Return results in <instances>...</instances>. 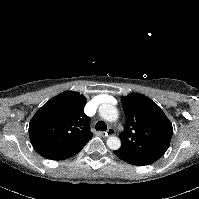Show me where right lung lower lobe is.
Segmentation results:
<instances>
[{
	"label": "right lung lower lobe",
	"mask_w": 199,
	"mask_h": 199,
	"mask_svg": "<svg viewBox=\"0 0 199 199\" xmlns=\"http://www.w3.org/2000/svg\"><path fill=\"white\" fill-rule=\"evenodd\" d=\"M82 148H83V147H82ZM82 148L76 150L75 152H73V153H71V154H69V155H67V156H64V157H61V158H57V159H53V160H64V159H67V158H69V157H72L73 155L77 154Z\"/></svg>",
	"instance_id": "1"
}]
</instances>
